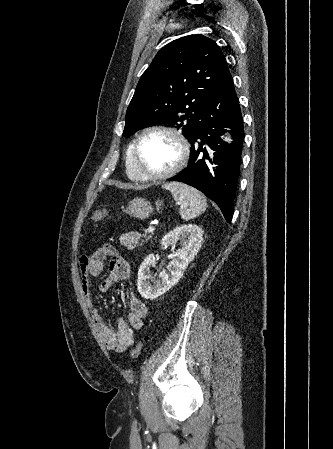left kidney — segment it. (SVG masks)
I'll return each instance as SVG.
<instances>
[{"instance_id": "1", "label": "left kidney", "mask_w": 333, "mask_h": 449, "mask_svg": "<svg viewBox=\"0 0 333 449\" xmlns=\"http://www.w3.org/2000/svg\"><path fill=\"white\" fill-rule=\"evenodd\" d=\"M203 229L196 224L177 226L166 234L161 245L164 248L172 247L175 258L168 264V273L160 272L159 280L151 286L148 282L150 267L155 266L154 254L148 255L138 270L137 288L141 296L146 299H155L172 288L183 276L188 264L194 259L201 248L203 241ZM179 244L181 248L174 252V247Z\"/></svg>"}]
</instances>
